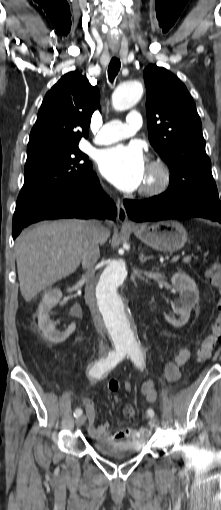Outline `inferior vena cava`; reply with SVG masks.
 I'll list each match as a JSON object with an SVG mask.
<instances>
[{"label":"inferior vena cava","instance_id":"602c4592","mask_svg":"<svg viewBox=\"0 0 221 510\" xmlns=\"http://www.w3.org/2000/svg\"><path fill=\"white\" fill-rule=\"evenodd\" d=\"M103 232V227L98 221H88L87 231L85 233L83 242L78 249V255L82 261V267L85 270L84 280L86 282L85 297L88 300L89 308L91 310L93 321L97 332L104 338L103 327L97 315V305L95 300V269L94 266L100 257L99 251V236ZM100 351H106L107 346L101 339L99 344Z\"/></svg>","mask_w":221,"mask_h":510}]
</instances>
